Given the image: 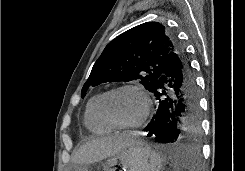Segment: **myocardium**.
I'll return each instance as SVG.
<instances>
[{"mask_svg": "<svg viewBox=\"0 0 245 171\" xmlns=\"http://www.w3.org/2000/svg\"><path fill=\"white\" fill-rule=\"evenodd\" d=\"M128 89L135 90L142 96L144 100V111H143L142 116L136 122L130 123V124H122V123H118L114 121L109 116V114L106 111V102L112 94L122 91V90H128ZM150 111H151V99H150L149 94L142 86L137 85V84H132V83L122 84V85L109 89L108 91L102 94L99 100V103H98V113L101 119L111 128L119 129V130H134V129H138L142 127L146 123L150 115Z\"/></svg>", "mask_w": 245, "mask_h": 171, "instance_id": "1", "label": "myocardium"}]
</instances>
